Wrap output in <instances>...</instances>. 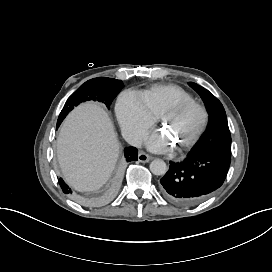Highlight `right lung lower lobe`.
Segmentation results:
<instances>
[{
  "label": "right lung lower lobe",
  "instance_id": "98d812e1",
  "mask_svg": "<svg viewBox=\"0 0 272 272\" xmlns=\"http://www.w3.org/2000/svg\"><path fill=\"white\" fill-rule=\"evenodd\" d=\"M61 123L57 122V128L59 127ZM138 150L135 147H128L125 148L124 150V156H125V160L126 162H131V161H136L137 160V156H138ZM58 182L63 190L64 193L66 194H70L72 193L71 189L69 188V186L63 181L62 178L58 179ZM120 185V177L117 176L112 182L111 184L108 186V188L106 189L105 193H104V197H109L111 195H113L119 188ZM99 200H91L89 201L90 204H96L98 203Z\"/></svg>",
  "mask_w": 272,
  "mask_h": 272
}]
</instances>
